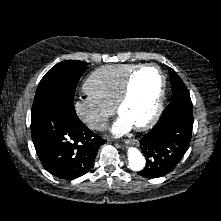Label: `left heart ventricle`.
Returning a JSON list of instances; mask_svg holds the SVG:
<instances>
[{"instance_id":"b2bd125f","label":"left heart ventricle","mask_w":221,"mask_h":221,"mask_svg":"<svg viewBox=\"0 0 221 221\" xmlns=\"http://www.w3.org/2000/svg\"><path fill=\"white\" fill-rule=\"evenodd\" d=\"M161 89V76L155 68L139 72L132 83L131 95L120 114L134 126L147 121L154 112Z\"/></svg>"}]
</instances>
